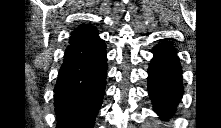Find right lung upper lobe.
Masks as SVG:
<instances>
[{"label":"right lung upper lobe","instance_id":"1","mask_svg":"<svg viewBox=\"0 0 221 128\" xmlns=\"http://www.w3.org/2000/svg\"><path fill=\"white\" fill-rule=\"evenodd\" d=\"M98 31L91 25L82 24L71 34L69 43L75 44L96 38Z\"/></svg>","mask_w":221,"mask_h":128}]
</instances>
